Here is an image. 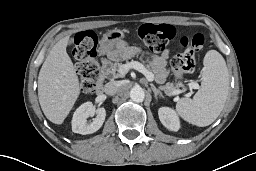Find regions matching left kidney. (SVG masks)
I'll return each mask as SVG.
<instances>
[{
  "mask_svg": "<svg viewBox=\"0 0 256 171\" xmlns=\"http://www.w3.org/2000/svg\"><path fill=\"white\" fill-rule=\"evenodd\" d=\"M158 115L161 123L169 130L178 131L180 121L176 112L169 107H161L158 110Z\"/></svg>",
  "mask_w": 256,
  "mask_h": 171,
  "instance_id": "left-kidney-1",
  "label": "left kidney"
}]
</instances>
